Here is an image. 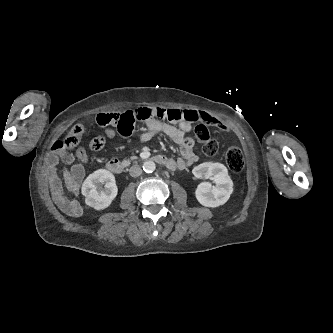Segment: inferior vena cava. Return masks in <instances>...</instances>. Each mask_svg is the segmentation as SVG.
Listing matches in <instances>:
<instances>
[{
  "label": "inferior vena cava",
  "mask_w": 333,
  "mask_h": 333,
  "mask_svg": "<svg viewBox=\"0 0 333 333\" xmlns=\"http://www.w3.org/2000/svg\"><path fill=\"white\" fill-rule=\"evenodd\" d=\"M129 173L132 177H138L142 174V169L139 165L131 166Z\"/></svg>",
  "instance_id": "obj_1"
}]
</instances>
